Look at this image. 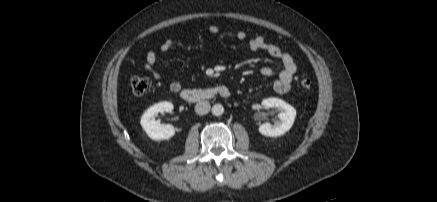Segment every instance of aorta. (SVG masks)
<instances>
[{
    "label": "aorta",
    "instance_id": "obj_1",
    "mask_svg": "<svg viewBox=\"0 0 437 202\" xmlns=\"http://www.w3.org/2000/svg\"><path fill=\"white\" fill-rule=\"evenodd\" d=\"M224 113V107L221 104H215L212 107V114L215 116H221Z\"/></svg>",
    "mask_w": 437,
    "mask_h": 202
}]
</instances>
